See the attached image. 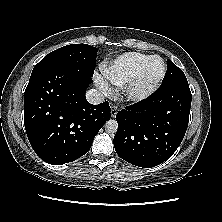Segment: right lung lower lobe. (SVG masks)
<instances>
[{"mask_svg":"<svg viewBox=\"0 0 222 222\" xmlns=\"http://www.w3.org/2000/svg\"><path fill=\"white\" fill-rule=\"evenodd\" d=\"M92 76L73 67H55L31 75L24 96V124L35 153L61 165L86 154L110 119L108 102L85 97Z\"/></svg>","mask_w":222,"mask_h":222,"instance_id":"98d812e1","label":"right lung lower lobe"}]
</instances>
